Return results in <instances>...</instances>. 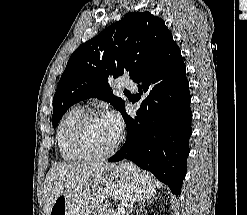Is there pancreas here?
<instances>
[{
	"label": "pancreas",
	"instance_id": "1",
	"mask_svg": "<svg viewBox=\"0 0 247 215\" xmlns=\"http://www.w3.org/2000/svg\"><path fill=\"white\" fill-rule=\"evenodd\" d=\"M94 215H119V213L103 204L94 210Z\"/></svg>",
	"mask_w": 247,
	"mask_h": 215
}]
</instances>
